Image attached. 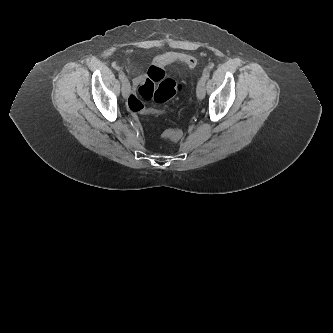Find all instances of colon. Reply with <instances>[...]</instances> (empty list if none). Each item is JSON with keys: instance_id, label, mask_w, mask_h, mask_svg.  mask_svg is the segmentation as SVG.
<instances>
[{"instance_id": "colon-1", "label": "colon", "mask_w": 333, "mask_h": 333, "mask_svg": "<svg viewBox=\"0 0 333 333\" xmlns=\"http://www.w3.org/2000/svg\"><path fill=\"white\" fill-rule=\"evenodd\" d=\"M155 81L147 79L145 83L139 87L138 92L144 100H153L158 104H164L171 100L176 93L182 89L183 84L177 82L171 78L163 84H158L157 88L154 87ZM127 106L130 111L137 113L164 115L163 110H157L154 108H145L144 104L136 96L132 95L127 101ZM163 135L173 141H178L182 138V132L179 129H168Z\"/></svg>"}]
</instances>
